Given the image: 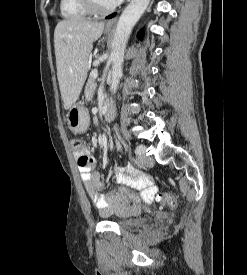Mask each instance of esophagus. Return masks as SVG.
Returning a JSON list of instances; mask_svg holds the SVG:
<instances>
[{"label": "esophagus", "instance_id": "esophagus-1", "mask_svg": "<svg viewBox=\"0 0 247 275\" xmlns=\"http://www.w3.org/2000/svg\"><path fill=\"white\" fill-rule=\"evenodd\" d=\"M116 23V19L113 18V19H110L107 23H106V27H112L114 26Z\"/></svg>", "mask_w": 247, "mask_h": 275}]
</instances>
